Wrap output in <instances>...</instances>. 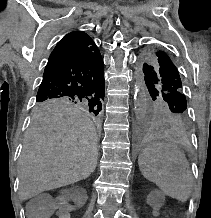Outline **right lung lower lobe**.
I'll return each mask as SVG.
<instances>
[{
	"mask_svg": "<svg viewBox=\"0 0 211 218\" xmlns=\"http://www.w3.org/2000/svg\"><path fill=\"white\" fill-rule=\"evenodd\" d=\"M104 66L100 53L45 69L37 98L69 97L104 100Z\"/></svg>",
	"mask_w": 211,
	"mask_h": 218,
	"instance_id": "right-lung-lower-lobe-1",
	"label": "right lung lower lobe"
}]
</instances>
